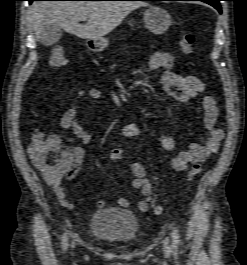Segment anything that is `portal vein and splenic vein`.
Instances as JSON below:
<instances>
[{"label": "portal vein and splenic vein", "mask_w": 247, "mask_h": 265, "mask_svg": "<svg viewBox=\"0 0 247 265\" xmlns=\"http://www.w3.org/2000/svg\"><path fill=\"white\" fill-rule=\"evenodd\" d=\"M86 19H87V17H85V16L80 17V20H86Z\"/></svg>", "instance_id": "1"}]
</instances>
